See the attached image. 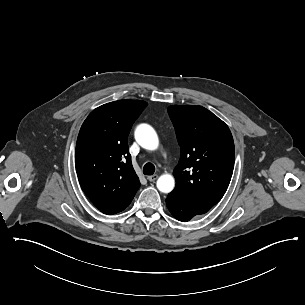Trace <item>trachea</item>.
Segmentation results:
<instances>
[{
    "mask_svg": "<svg viewBox=\"0 0 305 305\" xmlns=\"http://www.w3.org/2000/svg\"><path fill=\"white\" fill-rule=\"evenodd\" d=\"M155 172V166L153 163L148 162L143 166V174L145 175H153Z\"/></svg>",
    "mask_w": 305,
    "mask_h": 305,
    "instance_id": "trachea-1",
    "label": "trachea"
}]
</instances>
